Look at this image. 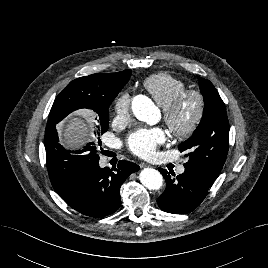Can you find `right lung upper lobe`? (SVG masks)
Wrapping results in <instances>:
<instances>
[{
    "instance_id": "obj_1",
    "label": "right lung upper lobe",
    "mask_w": 268,
    "mask_h": 268,
    "mask_svg": "<svg viewBox=\"0 0 268 268\" xmlns=\"http://www.w3.org/2000/svg\"><path fill=\"white\" fill-rule=\"evenodd\" d=\"M130 76L131 70L128 69L117 73L81 77L70 82L55 100L64 102L66 116L81 108L92 109L95 112L109 108L114 98L129 81ZM60 121L57 119L48 122L47 131L53 132L55 125ZM63 194H59L60 197Z\"/></svg>"
}]
</instances>
